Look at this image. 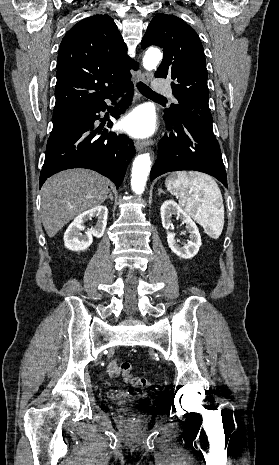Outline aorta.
<instances>
[{
	"label": "aorta",
	"mask_w": 279,
	"mask_h": 465,
	"mask_svg": "<svg viewBox=\"0 0 279 465\" xmlns=\"http://www.w3.org/2000/svg\"><path fill=\"white\" fill-rule=\"evenodd\" d=\"M161 59L162 54L158 49H149L143 57V66L148 71L154 70ZM150 166L149 153L140 154L135 158L131 175V188L134 193L140 195L144 192Z\"/></svg>",
	"instance_id": "aorta-1"
}]
</instances>
